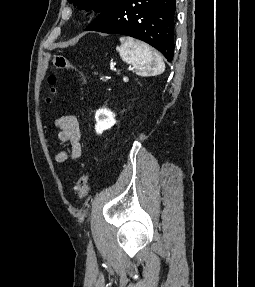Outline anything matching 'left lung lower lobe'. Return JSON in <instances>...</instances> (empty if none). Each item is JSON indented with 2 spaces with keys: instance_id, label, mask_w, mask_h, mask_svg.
Wrapping results in <instances>:
<instances>
[{
  "instance_id": "0a47b994",
  "label": "left lung lower lobe",
  "mask_w": 255,
  "mask_h": 287,
  "mask_svg": "<svg viewBox=\"0 0 255 287\" xmlns=\"http://www.w3.org/2000/svg\"><path fill=\"white\" fill-rule=\"evenodd\" d=\"M176 0H113L85 29L122 34L158 49L171 62L174 55Z\"/></svg>"
}]
</instances>
